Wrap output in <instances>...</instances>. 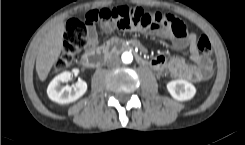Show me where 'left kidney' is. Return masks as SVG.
Here are the masks:
<instances>
[{"instance_id":"1","label":"left kidney","mask_w":245,"mask_h":145,"mask_svg":"<svg viewBox=\"0 0 245 145\" xmlns=\"http://www.w3.org/2000/svg\"><path fill=\"white\" fill-rule=\"evenodd\" d=\"M167 90L178 101L190 100L196 94L195 86L185 80L170 81L167 83Z\"/></svg>"}]
</instances>
